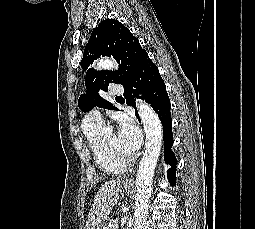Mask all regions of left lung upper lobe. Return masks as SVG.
<instances>
[{
	"instance_id": "1",
	"label": "left lung upper lobe",
	"mask_w": 255,
	"mask_h": 229,
	"mask_svg": "<svg viewBox=\"0 0 255 229\" xmlns=\"http://www.w3.org/2000/svg\"><path fill=\"white\" fill-rule=\"evenodd\" d=\"M139 40L132 35L128 28L115 19L102 21L95 28L84 49L81 67L86 72V93L78 100L79 108L88 112L95 106L110 110H118L109 101L99 95L101 90L106 91L109 83L124 85L132 75L142 55ZM100 56H113L120 64L117 71L102 70L99 72L88 69L90 64Z\"/></svg>"
}]
</instances>
